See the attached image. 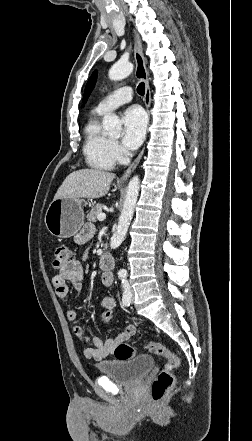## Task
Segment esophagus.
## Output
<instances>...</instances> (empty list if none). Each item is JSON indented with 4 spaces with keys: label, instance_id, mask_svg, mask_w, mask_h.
Returning <instances> with one entry per match:
<instances>
[{
    "label": "esophagus",
    "instance_id": "obj_1",
    "mask_svg": "<svg viewBox=\"0 0 252 441\" xmlns=\"http://www.w3.org/2000/svg\"><path fill=\"white\" fill-rule=\"evenodd\" d=\"M134 58L136 62V71L135 75L138 79L142 80L145 84V95H144V102L147 110L150 107L151 104V91L149 87V81H148V74L146 70V61L143 54L142 44L138 37V35L135 33V50H134ZM144 153V148L139 153V155L136 157V159L133 161V163L128 167V169L125 171V173L120 178L121 181H125L128 179V177L132 174V172L136 169L137 165L139 164L142 156Z\"/></svg>",
    "mask_w": 252,
    "mask_h": 441
}]
</instances>
